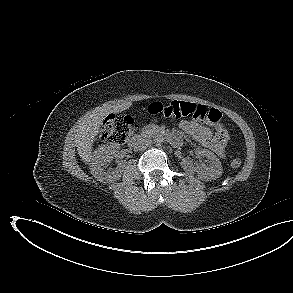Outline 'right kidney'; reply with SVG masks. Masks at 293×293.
Wrapping results in <instances>:
<instances>
[{"label":"right kidney","instance_id":"1","mask_svg":"<svg viewBox=\"0 0 293 293\" xmlns=\"http://www.w3.org/2000/svg\"><path fill=\"white\" fill-rule=\"evenodd\" d=\"M119 144L108 143L99 146L92 155L90 170L93 177L100 182L109 183L117 180L124 169V162L119 161L114 170H105L119 152Z\"/></svg>","mask_w":293,"mask_h":293}]
</instances>
